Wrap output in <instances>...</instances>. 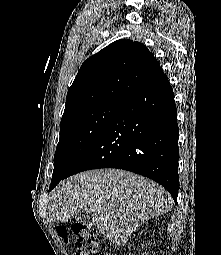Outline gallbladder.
I'll return each instance as SVG.
<instances>
[{"mask_svg": "<svg viewBox=\"0 0 221 255\" xmlns=\"http://www.w3.org/2000/svg\"><path fill=\"white\" fill-rule=\"evenodd\" d=\"M89 219H90V215L86 214L84 212L78 213L75 216V220H76L77 223H83V222H86Z\"/></svg>", "mask_w": 221, "mask_h": 255, "instance_id": "bac80fb5", "label": "gallbladder"}]
</instances>
